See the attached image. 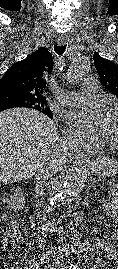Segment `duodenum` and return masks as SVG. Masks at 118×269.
Returning <instances> with one entry per match:
<instances>
[{
    "label": "duodenum",
    "mask_w": 118,
    "mask_h": 269,
    "mask_svg": "<svg viewBox=\"0 0 118 269\" xmlns=\"http://www.w3.org/2000/svg\"><path fill=\"white\" fill-rule=\"evenodd\" d=\"M80 220H81V216H80V215H78V216L75 218V223H79V222H80Z\"/></svg>",
    "instance_id": "duodenum-1"
}]
</instances>
